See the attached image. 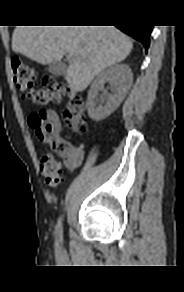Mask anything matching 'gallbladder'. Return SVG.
<instances>
[{
	"label": "gallbladder",
	"mask_w": 184,
	"mask_h": 292,
	"mask_svg": "<svg viewBox=\"0 0 184 292\" xmlns=\"http://www.w3.org/2000/svg\"><path fill=\"white\" fill-rule=\"evenodd\" d=\"M48 71L56 76L64 75L66 71V65L60 61L51 62L48 64Z\"/></svg>",
	"instance_id": "bac80fb5"
}]
</instances>
